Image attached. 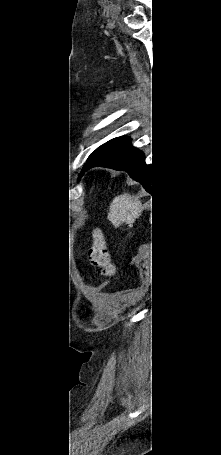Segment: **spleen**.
<instances>
[{"label": "spleen", "instance_id": "1", "mask_svg": "<svg viewBox=\"0 0 221 455\" xmlns=\"http://www.w3.org/2000/svg\"><path fill=\"white\" fill-rule=\"evenodd\" d=\"M142 211V202L134 196L124 193L113 199L107 218L115 227H119L123 223L134 222Z\"/></svg>", "mask_w": 221, "mask_h": 455}]
</instances>
